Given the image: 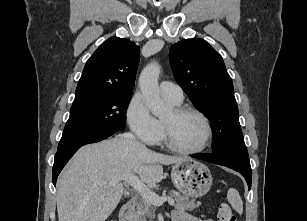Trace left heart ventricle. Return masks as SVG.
<instances>
[{"label":"left heart ventricle","instance_id":"b2bd125f","mask_svg":"<svg viewBox=\"0 0 307 221\" xmlns=\"http://www.w3.org/2000/svg\"><path fill=\"white\" fill-rule=\"evenodd\" d=\"M163 121L170 127L173 143L183 149L199 147L205 138L204 122L194 114L177 115L174 110Z\"/></svg>","mask_w":307,"mask_h":221}]
</instances>
